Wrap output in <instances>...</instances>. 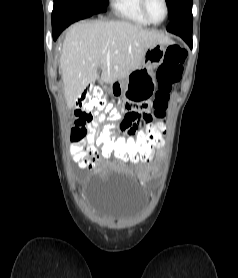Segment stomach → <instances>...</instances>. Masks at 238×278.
I'll return each mask as SVG.
<instances>
[{
  "instance_id": "stomach-1",
  "label": "stomach",
  "mask_w": 238,
  "mask_h": 278,
  "mask_svg": "<svg viewBox=\"0 0 238 278\" xmlns=\"http://www.w3.org/2000/svg\"><path fill=\"white\" fill-rule=\"evenodd\" d=\"M165 51L166 47L163 44L150 46L139 69L130 74H120L118 80L112 85V95H116L117 99L148 102L156 88L153 70L163 62Z\"/></svg>"
}]
</instances>
